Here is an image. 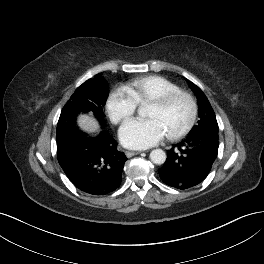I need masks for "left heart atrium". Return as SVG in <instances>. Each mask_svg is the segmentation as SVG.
Segmentation results:
<instances>
[{
  "label": "left heart atrium",
  "mask_w": 264,
  "mask_h": 264,
  "mask_svg": "<svg viewBox=\"0 0 264 264\" xmlns=\"http://www.w3.org/2000/svg\"><path fill=\"white\" fill-rule=\"evenodd\" d=\"M166 135L161 123L154 118L133 119L119 130L121 142L133 149H146L159 143Z\"/></svg>",
  "instance_id": "obj_1"
}]
</instances>
